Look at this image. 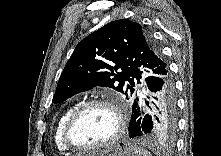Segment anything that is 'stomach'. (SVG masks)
Returning a JSON list of instances; mask_svg holds the SVG:
<instances>
[{
	"label": "stomach",
	"mask_w": 221,
	"mask_h": 156,
	"mask_svg": "<svg viewBox=\"0 0 221 156\" xmlns=\"http://www.w3.org/2000/svg\"><path fill=\"white\" fill-rule=\"evenodd\" d=\"M89 156H135V151L130 142L120 141L97 150Z\"/></svg>",
	"instance_id": "stomach-1"
}]
</instances>
